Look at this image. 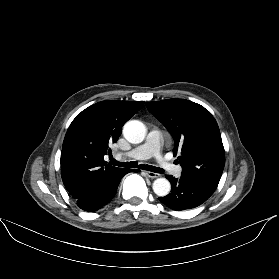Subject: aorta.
Returning <instances> with one entry per match:
<instances>
[{
	"mask_svg": "<svg viewBox=\"0 0 279 279\" xmlns=\"http://www.w3.org/2000/svg\"><path fill=\"white\" fill-rule=\"evenodd\" d=\"M124 137L131 143H140L146 135L145 125L138 120L128 121L123 127ZM171 190V184L166 178H158L153 182V191L158 196H166Z\"/></svg>",
	"mask_w": 279,
	"mask_h": 279,
	"instance_id": "obj_1",
	"label": "aorta"
}]
</instances>
